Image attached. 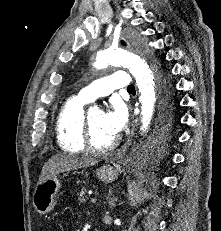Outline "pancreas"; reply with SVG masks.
Here are the masks:
<instances>
[{
    "mask_svg": "<svg viewBox=\"0 0 221 231\" xmlns=\"http://www.w3.org/2000/svg\"><path fill=\"white\" fill-rule=\"evenodd\" d=\"M85 192H86V189L83 188L81 192L78 193V201L80 203H84L88 199V196L85 194Z\"/></svg>",
    "mask_w": 221,
    "mask_h": 231,
    "instance_id": "pancreas-1",
    "label": "pancreas"
}]
</instances>
